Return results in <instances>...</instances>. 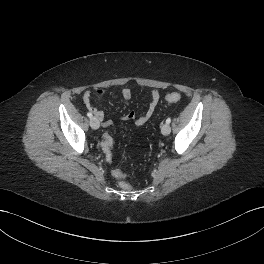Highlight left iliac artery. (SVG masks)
Wrapping results in <instances>:
<instances>
[{
    "mask_svg": "<svg viewBox=\"0 0 264 264\" xmlns=\"http://www.w3.org/2000/svg\"><path fill=\"white\" fill-rule=\"evenodd\" d=\"M171 122V118H167V120H166V123H170Z\"/></svg>",
    "mask_w": 264,
    "mask_h": 264,
    "instance_id": "44dca946",
    "label": "left iliac artery"
}]
</instances>
